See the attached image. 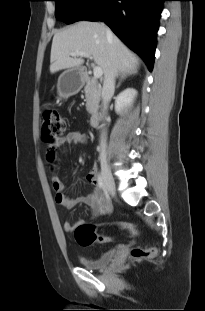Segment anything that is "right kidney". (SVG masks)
I'll use <instances>...</instances> for the list:
<instances>
[{"label": "right kidney", "mask_w": 205, "mask_h": 311, "mask_svg": "<svg viewBox=\"0 0 205 311\" xmlns=\"http://www.w3.org/2000/svg\"><path fill=\"white\" fill-rule=\"evenodd\" d=\"M136 95L137 91L133 88H127L122 91L116 98L115 109L117 113L130 106Z\"/></svg>", "instance_id": "obj_1"}]
</instances>
